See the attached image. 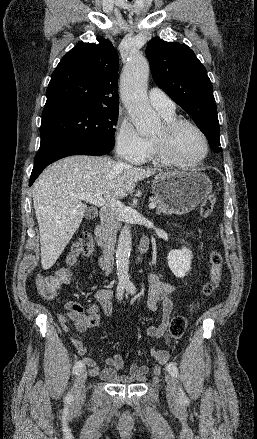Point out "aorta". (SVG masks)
<instances>
[{"label":"aorta","instance_id":"1","mask_svg":"<svg viewBox=\"0 0 257 439\" xmlns=\"http://www.w3.org/2000/svg\"><path fill=\"white\" fill-rule=\"evenodd\" d=\"M149 64L139 53H133L124 68L120 82L122 101L140 135L156 131L160 124L157 113L151 108L147 97ZM132 249L130 226L122 228L116 251L118 281L130 285L129 258Z\"/></svg>","mask_w":257,"mask_h":439}]
</instances>
